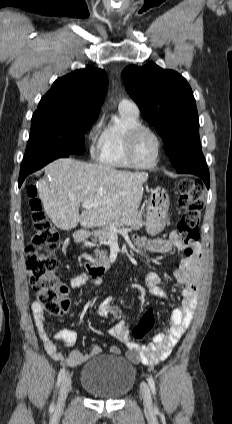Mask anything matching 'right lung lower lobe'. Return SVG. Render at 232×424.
I'll return each instance as SVG.
<instances>
[{"mask_svg": "<svg viewBox=\"0 0 232 424\" xmlns=\"http://www.w3.org/2000/svg\"><path fill=\"white\" fill-rule=\"evenodd\" d=\"M71 154L67 153H53L48 155H43L38 158H35L31 162L21 165L20 175H19V187L22 185L24 179L32 172L41 169L46 164L52 162L57 158L69 157Z\"/></svg>", "mask_w": 232, "mask_h": 424, "instance_id": "1", "label": "right lung lower lobe"}]
</instances>
